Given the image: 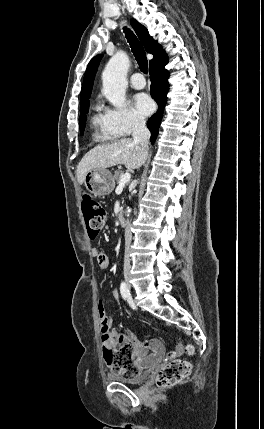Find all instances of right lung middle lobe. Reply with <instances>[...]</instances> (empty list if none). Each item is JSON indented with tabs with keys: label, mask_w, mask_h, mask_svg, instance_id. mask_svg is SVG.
<instances>
[{
	"label": "right lung middle lobe",
	"mask_w": 264,
	"mask_h": 429,
	"mask_svg": "<svg viewBox=\"0 0 264 429\" xmlns=\"http://www.w3.org/2000/svg\"><path fill=\"white\" fill-rule=\"evenodd\" d=\"M89 104L80 106V132L81 134L84 132L85 129V122H86V113H88Z\"/></svg>",
	"instance_id": "obj_1"
}]
</instances>
